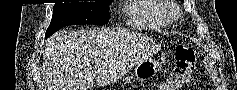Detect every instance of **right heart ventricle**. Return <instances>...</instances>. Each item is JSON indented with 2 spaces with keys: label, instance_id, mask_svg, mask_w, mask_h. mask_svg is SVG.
<instances>
[{
  "label": "right heart ventricle",
  "instance_id": "right-heart-ventricle-1",
  "mask_svg": "<svg viewBox=\"0 0 237 90\" xmlns=\"http://www.w3.org/2000/svg\"><path fill=\"white\" fill-rule=\"evenodd\" d=\"M160 0H129L131 6L141 7H124L123 14H128V28L138 29H165L169 26V22L160 15L155 14H171L169 7L171 2H159Z\"/></svg>",
  "mask_w": 237,
  "mask_h": 90
}]
</instances>
